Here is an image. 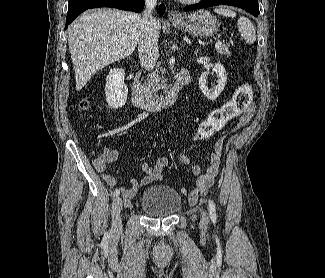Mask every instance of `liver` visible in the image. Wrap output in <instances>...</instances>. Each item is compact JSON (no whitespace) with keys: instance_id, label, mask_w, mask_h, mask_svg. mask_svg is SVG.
Listing matches in <instances>:
<instances>
[{"instance_id":"1","label":"liver","mask_w":325,"mask_h":278,"mask_svg":"<svg viewBox=\"0 0 325 278\" xmlns=\"http://www.w3.org/2000/svg\"><path fill=\"white\" fill-rule=\"evenodd\" d=\"M142 16L117 9L84 13L69 28L68 45L76 76V90L105 66L130 56L135 50ZM158 29L161 28L157 20Z\"/></svg>"}]
</instances>
